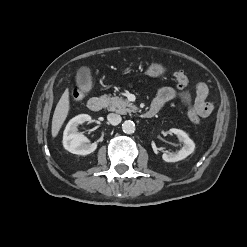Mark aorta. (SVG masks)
Here are the masks:
<instances>
[{"label": "aorta", "instance_id": "762f6f07", "mask_svg": "<svg viewBox=\"0 0 247 247\" xmlns=\"http://www.w3.org/2000/svg\"><path fill=\"white\" fill-rule=\"evenodd\" d=\"M122 130L126 134H132V133H134L135 132V124H134V122L131 121V120H126L122 124Z\"/></svg>", "mask_w": 247, "mask_h": 247}]
</instances>
